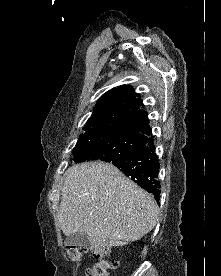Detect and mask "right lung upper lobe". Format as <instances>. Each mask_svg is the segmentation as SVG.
Masks as SVG:
<instances>
[{
  "label": "right lung upper lobe",
  "instance_id": "1",
  "mask_svg": "<svg viewBox=\"0 0 221 276\" xmlns=\"http://www.w3.org/2000/svg\"><path fill=\"white\" fill-rule=\"evenodd\" d=\"M139 94L128 85H121L103 94L84 126L79 140L108 133H125L146 138L151 133L149 119Z\"/></svg>",
  "mask_w": 221,
  "mask_h": 276
}]
</instances>
